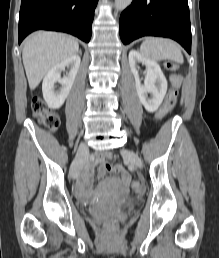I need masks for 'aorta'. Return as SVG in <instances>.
Listing matches in <instances>:
<instances>
[{
    "label": "aorta",
    "mask_w": 219,
    "mask_h": 258,
    "mask_svg": "<svg viewBox=\"0 0 219 258\" xmlns=\"http://www.w3.org/2000/svg\"><path fill=\"white\" fill-rule=\"evenodd\" d=\"M132 0H115V8L119 11L124 10L131 4Z\"/></svg>",
    "instance_id": "obj_1"
}]
</instances>
